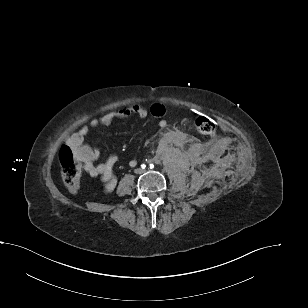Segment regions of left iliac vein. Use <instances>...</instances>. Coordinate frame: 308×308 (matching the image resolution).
I'll return each mask as SVG.
<instances>
[{"label": "left iliac vein", "mask_w": 308, "mask_h": 308, "mask_svg": "<svg viewBox=\"0 0 308 308\" xmlns=\"http://www.w3.org/2000/svg\"><path fill=\"white\" fill-rule=\"evenodd\" d=\"M146 170H142V173L145 172Z\"/></svg>", "instance_id": "1"}]
</instances>
